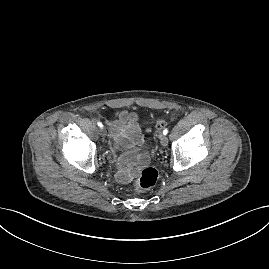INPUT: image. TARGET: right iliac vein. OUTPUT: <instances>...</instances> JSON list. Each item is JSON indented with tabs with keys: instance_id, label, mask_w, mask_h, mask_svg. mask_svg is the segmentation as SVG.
<instances>
[{
	"instance_id": "63e3f726",
	"label": "right iliac vein",
	"mask_w": 269,
	"mask_h": 269,
	"mask_svg": "<svg viewBox=\"0 0 269 269\" xmlns=\"http://www.w3.org/2000/svg\"><path fill=\"white\" fill-rule=\"evenodd\" d=\"M100 135L102 136V137H105L106 136V129L105 128H101L100 129Z\"/></svg>"
}]
</instances>
